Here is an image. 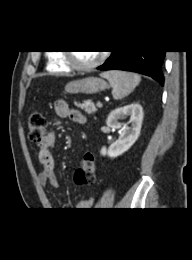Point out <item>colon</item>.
<instances>
[{"instance_id": "obj_1", "label": "colon", "mask_w": 192, "mask_h": 260, "mask_svg": "<svg viewBox=\"0 0 192 260\" xmlns=\"http://www.w3.org/2000/svg\"><path fill=\"white\" fill-rule=\"evenodd\" d=\"M46 120L44 115L35 111L28 118V137L36 146L41 147L46 138ZM96 177V168L94 157L87 153L83 157L79 167L77 168L74 180L79 186H86L94 183Z\"/></svg>"}]
</instances>
